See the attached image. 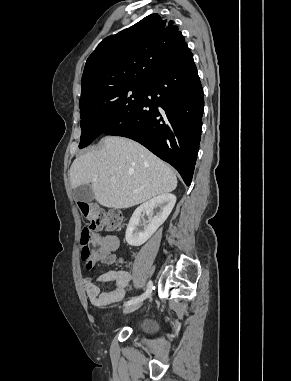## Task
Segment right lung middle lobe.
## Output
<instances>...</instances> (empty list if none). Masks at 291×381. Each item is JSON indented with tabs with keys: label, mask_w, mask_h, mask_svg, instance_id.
<instances>
[{
	"label": "right lung middle lobe",
	"mask_w": 291,
	"mask_h": 381,
	"mask_svg": "<svg viewBox=\"0 0 291 381\" xmlns=\"http://www.w3.org/2000/svg\"><path fill=\"white\" fill-rule=\"evenodd\" d=\"M146 83L106 89L80 104L81 139L79 148L88 146L106 130L131 116L145 96Z\"/></svg>",
	"instance_id": "1"
}]
</instances>
